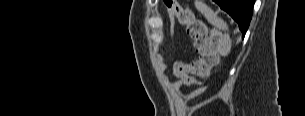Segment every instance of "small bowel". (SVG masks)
<instances>
[{"instance_id":"small-bowel-1","label":"small bowel","mask_w":305,"mask_h":116,"mask_svg":"<svg viewBox=\"0 0 305 116\" xmlns=\"http://www.w3.org/2000/svg\"><path fill=\"white\" fill-rule=\"evenodd\" d=\"M198 94H199V93H198L197 91H194V92H192V93H190V94L188 95V98H194V97H196Z\"/></svg>"}]
</instances>
